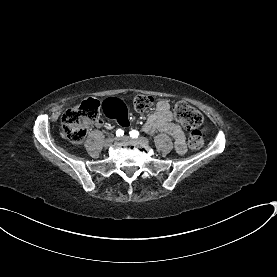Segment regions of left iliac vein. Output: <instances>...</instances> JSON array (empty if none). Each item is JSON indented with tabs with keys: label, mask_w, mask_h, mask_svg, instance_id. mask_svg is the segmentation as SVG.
<instances>
[{
	"label": "left iliac vein",
	"mask_w": 277,
	"mask_h": 277,
	"mask_svg": "<svg viewBox=\"0 0 277 277\" xmlns=\"http://www.w3.org/2000/svg\"><path fill=\"white\" fill-rule=\"evenodd\" d=\"M121 140H123V141H130L132 139L129 136H123L121 138ZM136 140L139 141V142L145 143V144L149 143V140L147 138H145V137H140V138H138Z\"/></svg>",
	"instance_id": "1"
}]
</instances>
